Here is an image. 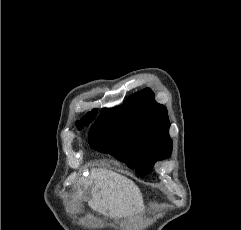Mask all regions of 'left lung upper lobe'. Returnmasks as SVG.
I'll use <instances>...</instances> for the list:
<instances>
[{
	"label": "left lung upper lobe",
	"mask_w": 241,
	"mask_h": 230,
	"mask_svg": "<svg viewBox=\"0 0 241 230\" xmlns=\"http://www.w3.org/2000/svg\"><path fill=\"white\" fill-rule=\"evenodd\" d=\"M169 118L165 106L154 100L149 89L133 94L124 105L104 109L89 131L90 146L109 153L148 174L156 160L172 151Z\"/></svg>",
	"instance_id": "1"
}]
</instances>
